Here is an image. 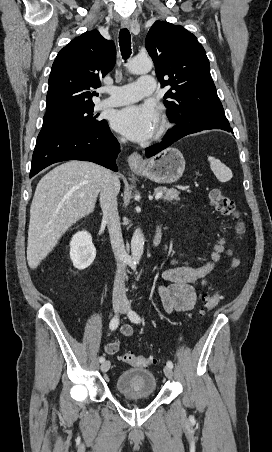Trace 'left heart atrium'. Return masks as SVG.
<instances>
[{
    "instance_id": "obj_1",
    "label": "left heart atrium",
    "mask_w": 272,
    "mask_h": 452,
    "mask_svg": "<svg viewBox=\"0 0 272 452\" xmlns=\"http://www.w3.org/2000/svg\"><path fill=\"white\" fill-rule=\"evenodd\" d=\"M158 123V113L150 105H130L114 116L113 126L133 141H144L150 138Z\"/></svg>"
}]
</instances>
